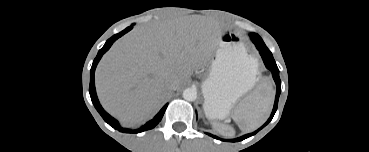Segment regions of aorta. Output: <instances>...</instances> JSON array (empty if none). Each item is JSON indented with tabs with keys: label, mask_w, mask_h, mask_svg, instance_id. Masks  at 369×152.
<instances>
[{
	"label": "aorta",
	"mask_w": 369,
	"mask_h": 152,
	"mask_svg": "<svg viewBox=\"0 0 369 152\" xmlns=\"http://www.w3.org/2000/svg\"><path fill=\"white\" fill-rule=\"evenodd\" d=\"M183 98L187 101H195L197 98V90L195 88H187L183 91Z\"/></svg>",
	"instance_id": "obj_1"
}]
</instances>
